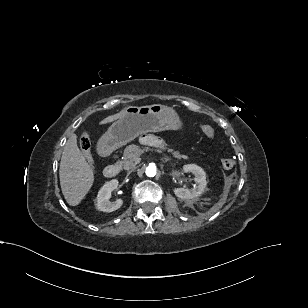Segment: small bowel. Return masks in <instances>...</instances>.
<instances>
[{"label": "small bowel", "instance_id": "small-bowel-1", "mask_svg": "<svg viewBox=\"0 0 308 308\" xmlns=\"http://www.w3.org/2000/svg\"><path fill=\"white\" fill-rule=\"evenodd\" d=\"M140 141L143 144L154 145V146H160L163 143L162 140L159 137H157L155 135H152V134H145V135H143L140 138Z\"/></svg>", "mask_w": 308, "mask_h": 308}]
</instances>
